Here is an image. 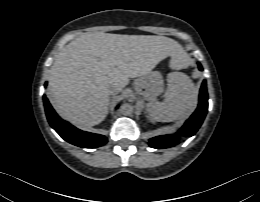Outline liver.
<instances>
[{"label":"liver","mask_w":260,"mask_h":202,"mask_svg":"<svg viewBox=\"0 0 260 202\" xmlns=\"http://www.w3.org/2000/svg\"><path fill=\"white\" fill-rule=\"evenodd\" d=\"M170 56V68L187 62L181 45L163 36L85 33L67 44L50 69L49 99L65 119L81 127L102 122L110 89L149 73Z\"/></svg>","instance_id":"1"}]
</instances>
